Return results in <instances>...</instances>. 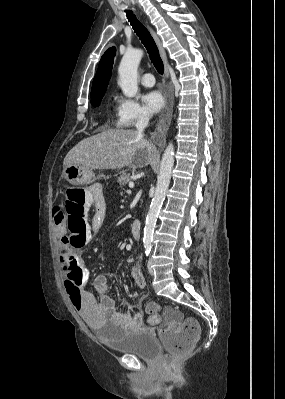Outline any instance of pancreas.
Instances as JSON below:
<instances>
[{
  "mask_svg": "<svg viewBox=\"0 0 285 399\" xmlns=\"http://www.w3.org/2000/svg\"><path fill=\"white\" fill-rule=\"evenodd\" d=\"M131 179L132 176L129 173H126V171H122L120 177H118L117 179V182L120 185H126Z\"/></svg>",
  "mask_w": 285,
  "mask_h": 399,
  "instance_id": "pancreas-1",
  "label": "pancreas"
}]
</instances>
